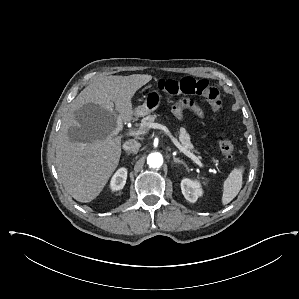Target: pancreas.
<instances>
[{
  "instance_id": "pancreas-1",
  "label": "pancreas",
  "mask_w": 299,
  "mask_h": 299,
  "mask_svg": "<svg viewBox=\"0 0 299 299\" xmlns=\"http://www.w3.org/2000/svg\"><path fill=\"white\" fill-rule=\"evenodd\" d=\"M157 115H148L142 119L140 129L150 128V124L154 123ZM179 140L181 145L189 151H193L194 147L190 141V136L184 128L179 129Z\"/></svg>"
}]
</instances>
